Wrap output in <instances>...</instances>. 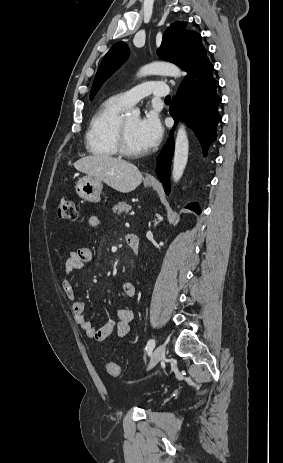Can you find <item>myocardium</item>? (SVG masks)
I'll return each mask as SVG.
<instances>
[{
  "label": "myocardium",
  "mask_w": 283,
  "mask_h": 463,
  "mask_svg": "<svg viewBox=\"0 0 283 463\" xmlns=\"http://www.w3.org/2000/svg\"><path fill=\"white\" fill-rule=\"evenodd\" d=\"M116 145L118 152L128 158H139L145 155V152H137L130 149L126 138L125 118H121L116 134Z\"/></svg>",
  "instance_id": "1"
}]
</instances>
